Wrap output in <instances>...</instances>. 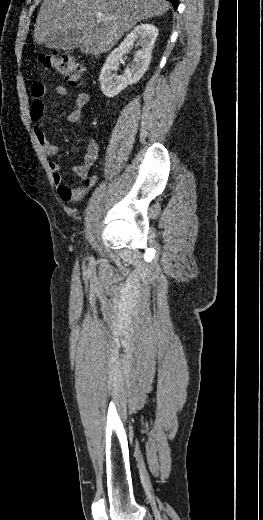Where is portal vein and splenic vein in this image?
I'll return each instance as SVG.
<instances>
[{
    "instance_id": "obj_1",
    "label": "portal vein and splenic vein",
    "mask_w": 263,
    "mask_h": 520,
    "mask_svg": "<svg viewBox=\"0 0 263 520\" xmlns=\"http://www.w3.org/2000/svg\"><path fill=\"white\" fill-rule=\"evenodd\" d=\"M95 17L98 19V20H102V19H109V20H112V19H115L114 16H106L105 14L101 13V12H97L95 13Z\"/></svg>"
}]
</instances>
